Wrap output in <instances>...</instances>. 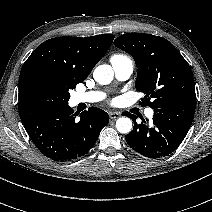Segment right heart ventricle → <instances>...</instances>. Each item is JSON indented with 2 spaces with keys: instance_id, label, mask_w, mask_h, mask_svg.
Returning a JSON list of instances; mask_svg holds the SVG:
<instances>
[{
  "instance_id": "1",
  "label": "right heart ventricle",
  "mask_w": 212,
  "mask_h": 212,
  "mask_svg": "<svg viewBox=\"0 0 212 212\" xmlns=\"http://www.w3.org/2000/svg\"><path fill=\"white\" fill-rule=\"evenodd\" d=\"M124 57H125V56H123V55L116 54V55H113V56H112L111 60H112V59H120V58H124Z\"/></svg>"
}]
</instances>
